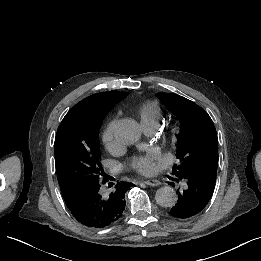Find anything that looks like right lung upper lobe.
Here are the masks:
<instances>
[{"mask_svg":"<svg viewBox=\"0 0 261 261\" xmlns=\"http://www.w3.org/2000/svg\"><path fill=\"white\" fill-rule=\"evenodd\" d=\"M127 95V92L119 91L94 94L80 101L71 110L96 116H106L116 103L123 100Z\"/></svg>","mask_w":261,"mask_h":261,"instance_id":"obj_1","label":"right lung upper lobe"}]
</instances>
